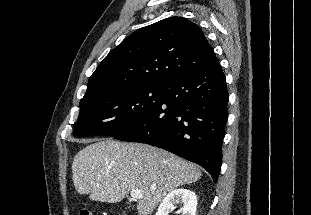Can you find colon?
<instances>
[{
    "label": "colon",
    "mask_w": 311,
    "mask_h": 215,
    "mask_svg": "<svg viewBox=\"0 0 311 215\" xmlns=\"http://www.w3.org/2000/svg\"><path fill=\"white\" fill-rule=\"evenodd\" d=\"M79 215H93L91 211L84 209L80 211Z\"/></svg>",
    "instance_id": "5ec220e1"
}]
</instances>
